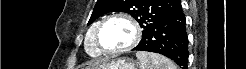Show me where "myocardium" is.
I'll return each mask as SVG.
<instances>
[{
  "instance_id": "myocardium-1",
  "label": "myocardium",
  "mask_w": 246,
  "mask_h": 69,
  "mask_svg": "<svg viewBox=\"0 0 246 69\" xmlns=\"http://www.w3.org/2000/svg\"><path fill=\"white\" fill-rule=\"evenodd\" d=\"M113 19H122L125 20L126 22H128L132 29H133V39L131 40V42L122 47V48H118V49H109L106 48L102 45L101 40H100V32L102 31V29L104 28V26ZM95 41L97 43V45L100 47V51L103 54H108V55H117V54H121L123 52H126L128 50H131L132 48H134L140 41L141 39V27L138 23V21L133 18L132 16L128 15V14H124V13H113L110 14L108 16H106L104 19H102V21L98 24V26L96 27L95 30Z\"/></svg>"
}]
</instances>
